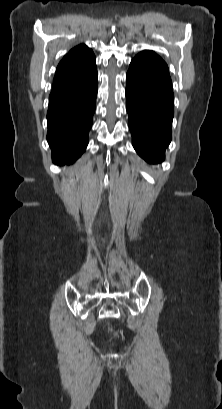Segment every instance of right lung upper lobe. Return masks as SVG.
Instances as JSON below:
<instances>
[{
    "instance_id": "obj_1",
    "label": "right lung upper lobe",
    "mask_w": 222,
    "mask_h": 409,
    "mask_svg": "<svg viewBox=\"0 0 222 409\" xmlns=\"http://www.w3.org/2000/svg\"><path fill=\"white\" fill-rule=\"evenodd\" d=\"M95 69V56L91 49L83 44L71 49L57 67L51 95H62L79 89L80 80L72 79L71 76L89 74Z\"/></svg>"
}]
</instances>
